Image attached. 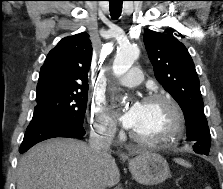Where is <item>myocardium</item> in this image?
I'll return each instance as SVG.
<instances>
[{"label": "myocardium", "instance_id": "1", "mask_svg": "<svg viewBox=\"0 0 223 189\" xmlns=\"http://www.w3.org/2000/svg\"><path fill=\"white\" fill-rule=\"evenodd\" d=\"M161 101L164 102L171 114L170 126L160 134L154 136H143L133 131L129 133L130 137L143 144H157L170 139H173L180 135L184 126V114L177 101L168 93L155 92L147 95L144 98V102Z\"/></svg>", "mask_w": 223, "mask_h": 189}]
</instances>
